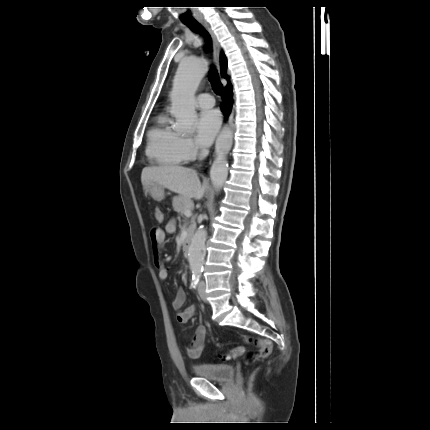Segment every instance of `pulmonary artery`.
Returning a JSON list of instances; mask_svg holds the SVG:
<instances>
[{"label":"pulmonary artery","instance_id":"1","mask_svg":"<svg viewBox=\"0 0 430 430\" xmlns=\"http://www.w3.org/2000/svg\"><path fill=\"white\" fill-rule=\"evenodd\" d=\"M197 105L202 109H209L215 105V100L212 95L208 93H202L197 97Z\"/></svg>","mask_w":430,"mask_h":430}]
</instances>
